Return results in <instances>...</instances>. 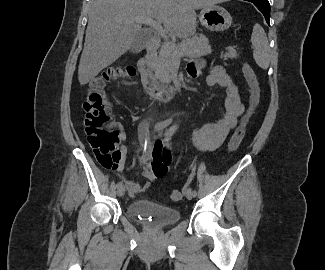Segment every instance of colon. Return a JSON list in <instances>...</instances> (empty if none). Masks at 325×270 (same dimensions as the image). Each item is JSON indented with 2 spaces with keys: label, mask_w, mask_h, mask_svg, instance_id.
Returning a JSON list of instances; mask_svg holds the SVG:
<instances>
[{
  "label": "colon",
  "mask_w": 325,
  "mask_h": 270,
  "mask_svg": "<svg viewBox=\"0 0 325 270\" xmlns=\"http://www.w3.org/2000/svg\"><path fill=\"white\" fill-rule=\"evenodd\" d=\"M242 70L250 90L249 108L228 143L230 152L235 151L242 142L247 123L260 101V87L254 70L247 63L243 64ZM135 73L133 67L125 69L111 67L92 79L88 85L83 103L85 132L98 162L107 169H116L120 159L119 134L113 122L107 88L117 79L125 76L131 77ZM182 197L183 194L179 190H173L170 194L172 201H180Z\"/></svg>",
  "instance_id": "1"
}]
</instances>
